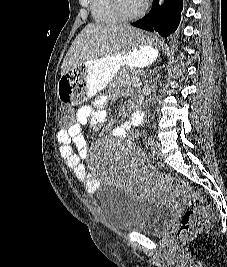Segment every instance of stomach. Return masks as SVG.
I'll return each instance as SVG.
<instances>
[{"label": "stomach", "mask_w": 227, "mask_h": 267, "mask_svg": "<svg viewBox=\"0 0 227 267\" xmlns=\"http://www.w3.org/2000/svg\"><path fill=\"white\" fill-rule=\"evenodd\" d=\"M157 54L156 47L132 41L116 55L77 65L59 77L57 101H62L65 107L81 106L87 99H92V94L103 90L122 68L145 67Z\"/></svg>", "instance_id": "0dacf381"}]
</instances>
